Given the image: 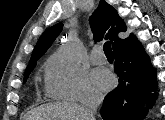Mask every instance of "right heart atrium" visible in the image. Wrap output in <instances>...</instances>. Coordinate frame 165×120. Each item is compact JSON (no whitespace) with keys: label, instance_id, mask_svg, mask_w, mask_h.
Wrapping results in <instances>:
<instances>
[{"label":"right heart atrium","instance_id":"d8ad5b80","mask_svg":"<svg viewBox=\"0 0 165 120\" xmlns=\"http://www.w3.org/2000/svg\"><path fill=\"white\" fill-rule=\"evenodd\" d=\"M45 83L47 93L54 98L84 102L100 97L99 91L92 85L86 72L68 66L58 54L48 61Z\"/></svg>","mask_w":165,"mask_h":120}]
</instances>
